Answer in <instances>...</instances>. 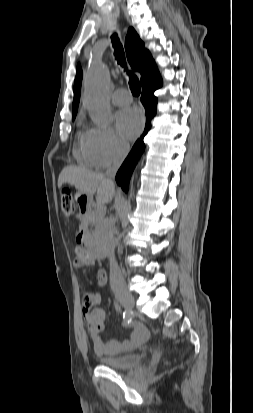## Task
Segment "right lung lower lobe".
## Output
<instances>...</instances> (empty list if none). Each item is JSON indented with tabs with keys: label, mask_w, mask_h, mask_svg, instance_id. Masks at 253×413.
I'll list each match as a JSON object with an SVG mask.
<instances>
[{
	"label": "right lung lower lobe",
	"mask_w": 253,
	"mask_h": 413,
	"mask_svg": "<svg viewBox=\"0 0 253 413\" xmlns=\"http://www.w3.org/2000/svg\"><path fill=\"white\" fill-rule=\"evenodd\" d=\"M142 84L141 102L146 110V125L143 134L134 144L131 152L123 162L122 166L116 174V181L124 190L127 188V183L136 166L141 154L145 149L143 142L144 136L151 129V120L156 115L157 98L153 95L154 91L161 87L162 80L159 74L147 78Z\"/></svg>",
	"instance_id": "right-lung-lower-lobe-1"
}]
</instances>
